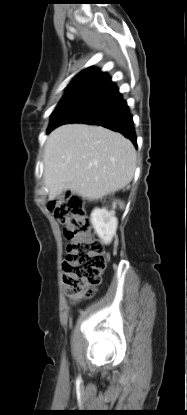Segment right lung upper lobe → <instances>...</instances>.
Here are the masks:
<instances>
[{
  "label": "right lung upper lobe",
  "instance_id": "1",
  "mask_svg": "<svg viewBox=\"0 0 187 415\" xmlns=\"http://www.w3.org/2000/svg\"><path fill=\"white\" fill-rule=\"evenodd\" d=\"M98 69L97 68H93V67H89L86 68L85 70L81 71L76 77H74V79L70 82V86L68 87V90L65 94L64 97H66L70 91L83 79H85L87 76L91 75L92 73L96 72ZM63 97V98H64Z\"/></svg>",
  "mask_w": 187,
  "mask_h": 415
}]
</instances>
